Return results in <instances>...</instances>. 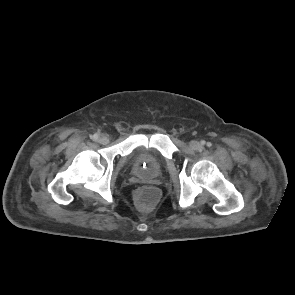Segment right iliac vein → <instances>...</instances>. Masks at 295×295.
<instances>
[{"instance_id": "right-iliac-vein-1", "label": "right iliac vein", "mask_w": 295, "mask_h": 295, "mask_svg": "<svg viewBox=\"0 0 295 295\" xmlns=\"http://www.w3.org/2000/svg\"><path fill=\"white\" fill-rule=\"evenodd\" d=\"M99 142L101 144H108L109 143V137L107 135H102L100 138H99Z\"/></svg>"}]
</instances>
